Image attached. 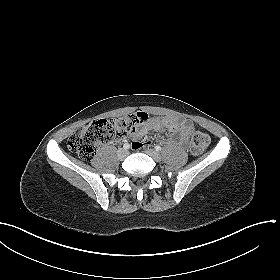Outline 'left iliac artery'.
I'll return each instance as SVG.
<instances>
[{"mask_svg":"<svg viewBox=\"0 0 280 280\" xmlns=\"http://www.w3.org/2000/svg\"><path fill=\"white\" fill-rule=\"evenodd\" d=\"M155 149H156V151H160V150H161V147H160L159 145H157V146L155 147Z\"/></svg>","mask_w":280,"mask_h":280,"instance_id":"1","label":"left iliac artery"}]
</instances>
